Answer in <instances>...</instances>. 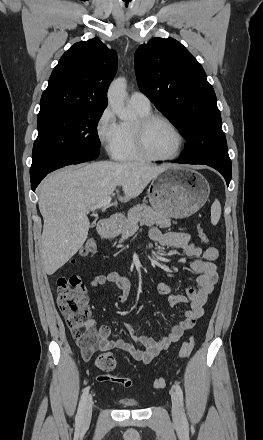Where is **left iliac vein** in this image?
<instances>
[{
  "label": "left iliac vein",
  "mask_w": 263,
  "mask_h": 440,
  "mask_svg": "<svg viewBox=\"0 0 263 440\" xmlns=\"http://www.w3.org/2000/svg\"><path fill=\"white\" fill-rule=\"evenodd\" d=\"M172 401V417L176 423H180L182 421V412L181 405L177 394L172 393L171 395Z\"/></svg>",
  "instance_id": "obj_1"
}]
</instances>
